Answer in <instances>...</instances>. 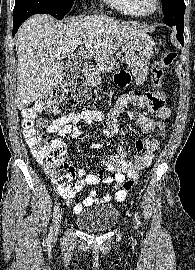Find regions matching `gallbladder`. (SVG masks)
Wrapping results in <instances>:
<instances>
[{"instance_id": "bac80fb5", "label": "gallbladder", "mask_w": 195, "mask_h": 270, "mask_svg": "<svg viewBox=\"0 0 195 270\" xmlns=\"http://www.w3.org/2000/svg\"><path fill=\"white\" fill-rule=\"evenodd\" d=\"M79 74V67L76 63L71 62L66 66V77L72 78Z\"/></svg>"}]
</instances>
